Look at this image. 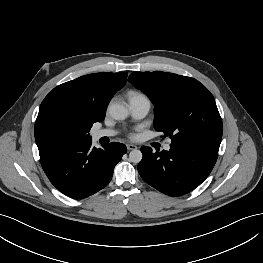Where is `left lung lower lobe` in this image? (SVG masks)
Masks as SVG:
<instances>
[{"mask_svg":"<svg viewBox=\"0 0 263 263\" xmlns=\"http://www.w3.org/2000/svg\"><path fill=\"white\" fill-rule=\"evenodd\" d=\"M220 145L171 144L169 151L143 146L138 165L142 179L158 191L181 196L199 186L212 171Z\"/></svg>","mask_w":263,"mask_h":263,"instance_id":"0a47b994","label":"left lung lower lobe"}]
</instances>
